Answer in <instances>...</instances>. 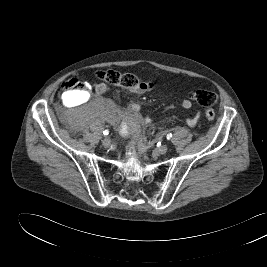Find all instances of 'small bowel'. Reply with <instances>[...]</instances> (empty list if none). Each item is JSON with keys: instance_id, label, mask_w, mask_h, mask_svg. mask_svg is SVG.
<instances>
[{"instance_id": "c3829d8e", "label": "small bowel", "mask_w": 267, "mask_h": 267, "mask_svg": "<svg viewBox=\"0 0 267 267\" xmlns=\"http://www.w3.org/2000/svg\"><path fill=\"white\" fill-rule=\"evenodd\" d=\"M152 88L153 84L148 82L144 87L130 89V91L134 94H143L150 91ZM95 92L98 95H105L109 92V87L105 83H97ZM179 105L184 109H190L192 107V102L189 99H183L179 102ZM170 106L173 107L174 104H171ZM111 121L114 124H118L121 121L127 122L131 126L133 132H135L142 125H150L153 119L149 116L143 118L140 115V105L134 103L131 104L127 110L115 111L114 115L111 117ZM186 121L189 125H195L198 122V118H188Z\"/></svg>"}]
</instances>
